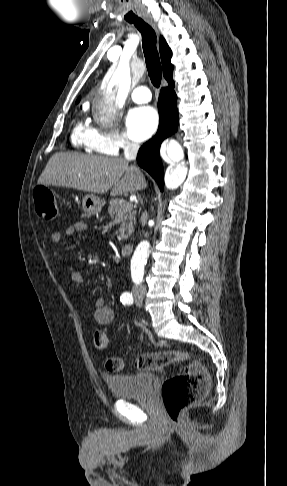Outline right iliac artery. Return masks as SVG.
<instances>
[{"label": "right iliac artery", "mask_w": 287, "mask_h": 486, "mask_svg": "<svg viewBox=\"0 0 287 486\" xmlns=\"http://www.w3.org/2000/svg\"><path fill=\"white\" fill-rule=\"evenodd\" d=\"M121 299H129V300H132V294L129 293V292H124L122 295H121Z\"/></svg>", "instance_id": "82829eb1"}]
</instances>
